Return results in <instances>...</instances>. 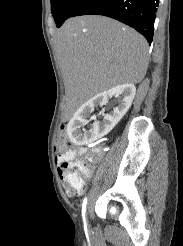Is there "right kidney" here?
Here are the masks:
<instances>
[{
  "mask_svg": "<svg viewBox=\"0 0 183 246\" xmlns=\"http://www.w3.org/2000/svg\"><path fill=\"white\" fill-rule=\"evenodd\" d=\"M136 92L134 84L127 83L115 86L99 93L85 102L74 114L67 125L69 139L76 145H85L96 141L108 134L126 114L132 104ZM117 98L118 106L109 114H104L102 122L95 121L89 132H83L81 127L87 123V118L97 106L108 103L109 98ZM95 120V118H93Z\"/></svg>",
  "mask_w": 183,
  "mask_h": 246,
  "instance_id": "obj_1",
  "label": "right kidney"
}]
</instances>
